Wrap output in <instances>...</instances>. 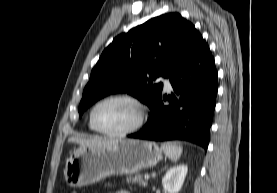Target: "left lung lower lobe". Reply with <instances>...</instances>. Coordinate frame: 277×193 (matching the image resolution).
Wrapping results in <instances>:
<instances>
[{"instance_id": "1", "label": "left lung lower lobe", "mask_w": 277, "mask_h": 193, "mask_svg": "<svg viewBox=\"0 0 277 193\" xmlns=\"http://www.w3.org/2000/svg\"><path fill=\"white\" fill-rule=\"evenodd\" d=\"M175 94L162 96L151 109L146 126L130 138L188 140L206 150L216 105L218 74L214 58L199 34L186 56L170 75ZM168 100V106L163 105Z\"/></svg>"}]
</instances>
